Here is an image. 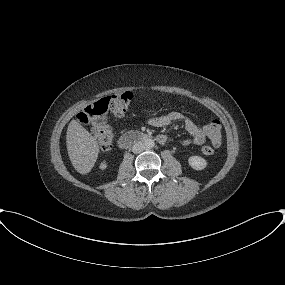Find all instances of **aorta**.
<instances>
[{
    "label": "aorta",
    "mask_w": 285,
    "mask_h": 285,
    "mask_svg": "<svg viewBox=\"0 0 285 285\" xmlns=\"http://www.w3.org/2000/svg\"><path fill=\"white\" fill-rule=\"evenodd\" d=\"M144 145H145V147H146L147 149H151V148L154 147L155 142H154L153 139H147V140L145 141Z\"/></svg>",
    "instance_id": "762f6f07"
}]
</instances>
